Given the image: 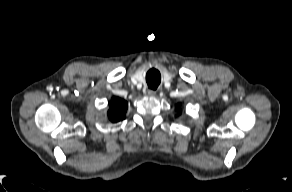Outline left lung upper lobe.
Wrapping results in <instances>:
<instances>
[{"instance_id":"5c2ea615","label":"left lung upper lobe","mask_w":292,"mask_h":192,"mask_svg":"<svg viewBox=\"0 0 292 192\" xmlns=\"http://www.w3.org/2000/svg\"><path fill=\"white\" fill-rule=\"evenodd\" d=\"M181 113V110L180 109H178V114H180Z\"/></svg>"}]
</instances>
